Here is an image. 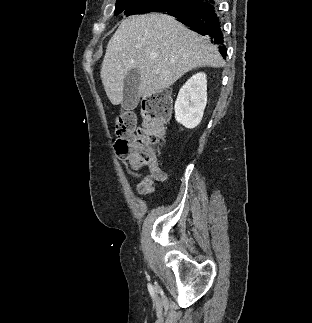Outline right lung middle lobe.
I'll list each match as a JSON object with an SVG mask.
<instances>
[{
  "mask_svg": "<svg viewBox=\"0 0 312 323\" xmlns=\"http://www.w3.org/2000/svg\"><path fill=\"white\" fill-rule=\"evenodd\" d=\"M190 0H117L114 15L130 16L134 14L166 11L179 8Z\"/></svg>",
  "mask_w": 312,
  "mask_h": 323,
  "instance_id": "obj_1",
  "label": "right lung middle lobe"
}]
</instances>
